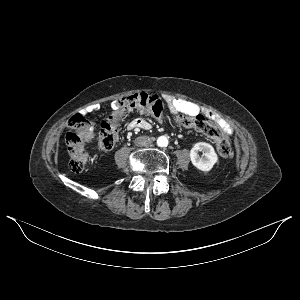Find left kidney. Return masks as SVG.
Listing matches in <instances>:
<instances>
[{
  "label": "left kidney",
  "mask_w": 300,
  "mask_h": 300,
  "mask_svg": "<svg viewBox=\"0 0 300 300\" xmlns=\"http://www.w3.org/2000/svg\"><path fill=\"white\" fill-rule=\"evenodd\" d=\"M203 153V156L199 155ZM192 164L201 171H210L218 161L217 154L212 145L206 142H198L190 150Z\"/></svg>",
  "instance_id": "left-kidney-1"
}]
</instances>
